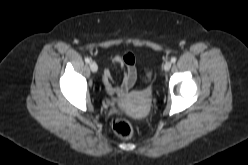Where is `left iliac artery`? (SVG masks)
I'll list each match as a JSON object with an SVG mask.
<instances>
[{"label": "left iliac artery", "mask_w": 248, "mask_h": 165, "mask_svg": "<svg viewBox=\"0 0 248 165\" xmlns=\"http://www.w3.org/2000/svg\"><path fill=\"white\" fill-rule=\"evenodd\" d=\"M171 62H172V63H175V62H176V58H175V57H172V58H171Z\"/></svg>", "instance_id": "44dca946"}]
</instances>
